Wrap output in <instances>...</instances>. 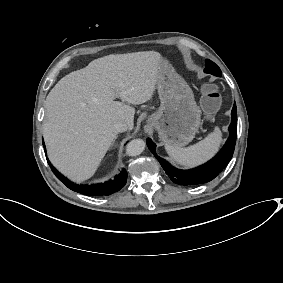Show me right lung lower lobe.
Here are the masks:
<instances>
[{"label":"right lung lower lobe","mask_w":283,"mask_h":283,"mask_svg":"<svg viewBox=\"0 0 283 283\" xmlns=\"http://www.w3.org/2000/svg\"><path fill=\"white\" fill-rule=\"evenodd\" d=\"M44 150L45 145L43 142ZM51 170L56 175V177L63 182L69 189L76 191L78 193L88 195V196H107L114 192L119 191L127 182V172L125 169H122V172L114 178V180L107 181L105 183L100 184H92V185H78L70 182L66 179L62 174H60L49 162L47 159Z\"/></svg>","instance_id":"right-lung-lower-lobe-1"}]
</instances>
